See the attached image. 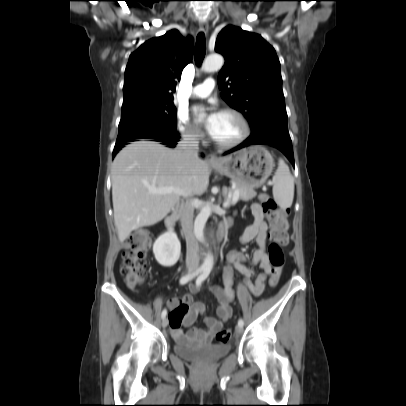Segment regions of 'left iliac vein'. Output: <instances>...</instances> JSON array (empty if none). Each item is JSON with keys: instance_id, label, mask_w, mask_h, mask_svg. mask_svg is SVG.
Segmentation results:
<instances>
[{"instance_id": "1", "label": "left iliac vein", "mask_w": 406, "mask_h": 406, "mask_svg": "<svg viewBox=\"0 0 406 406\" xmlns=\"http://www.w3.org/2000/svg\"><path fill=\"white\" fill-rule=\"evenodd\" d=\"M235 331H236L237 334H240V333H242V331H243V327L238 325V326L235 328Z\"/></svg>"}]
</instances>
